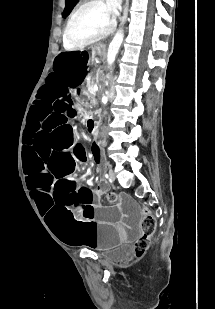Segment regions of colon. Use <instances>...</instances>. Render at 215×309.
Wrapping results in <instances>:
<instances>
[{
  "instance_id": "colon-1",
  "label": "colon",
  "mask_w": 215,
  "mask_h": 309,
  "mask_svg": "<svg viewBox=\"0 0 215 309\" xmlns=\"http://www.w3.org/2000/svg\"><path fill=\"white\" fill-rule=\"evenodd\" d=\"M108 200L110 204H115L116 194L109 193ZM141 227L143 235L134 243V252L136 255L144 254L149 246V239L156 228V222L154 217L149 213L145 212L141 221Z\"/></svg>"
}]
</instances>
